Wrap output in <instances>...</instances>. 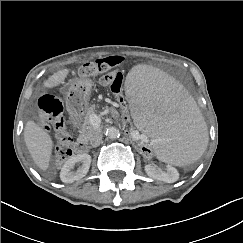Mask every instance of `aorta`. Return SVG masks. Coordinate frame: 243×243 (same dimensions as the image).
<instances>
[{
  "instance_id": "aorta-1",
  "label": "aorta",
  "mask_w": 243,
  "mask_h": 243,
  "mask_svg": "<svg viewBox=\"0 0 243 243\" xmlns=\"http://www.w3.org/2000/svg\"><path fill=\"white\" fill-rule=\"evenodd\" d=\"M105 135L108 138L115 139V138H118L119 137L120 132H119V130L116 127L110 126V127H107L106 128Z\"/></svg>"
}]
</instances>
